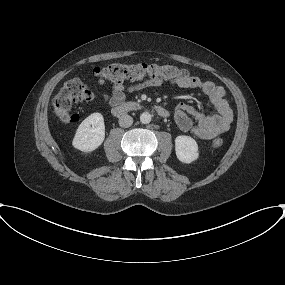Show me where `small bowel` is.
<instances>
[{
    "instance_id": "small-bowel-1",
    "label": "small bowel",
    "mask_w": 285,
    "mask_h": 285,
    "mask_svg": "<svg viewBox=\"0 0 285 285\" xmlns=\"http://www.w3.org/2000/svg\"><path fill=\"white\" fill-rule=\"evenodd\" d=\"M162 80L144 79L138 82L125 85L123 82H115L110 94L100 93L103 101L111 106H116L123 102L126 93L139 91L151 86H159ZM182 88H196L206 96L213 105L214 113L206 115L197 108L186 103H179L174 112L177 126L184 132L194 136L209 140L230 127L233 120V113L225 96L223 87L216 85L212 81H204L198 77L191 76L189 79L172 82ZM191 116L195 119L193 121Z\"/></svg>"
}]
</instances>
